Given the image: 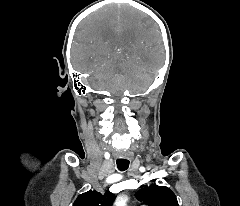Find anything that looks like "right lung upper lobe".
<instances>
[{
	"label": "right lung upper lobe",
	"mask_w": 240,
	"mask_h": 206,
	"mask_svg": "<svg viewBox=\"0 0 240 206\" xmlns=\"http://www.w3.org/2000/svg\"><path fill=\"white\" fill-rule=\"evenodd\" d=\"M115 195L109 191L101 194L97 191H88L77 197L73 206H112Z\"/></svg>",
	"instance_id": "right-lung-upper-lobe-1"
}]
</instances>
